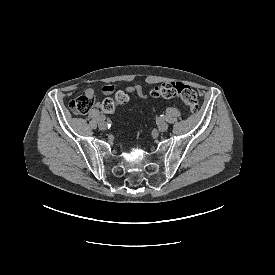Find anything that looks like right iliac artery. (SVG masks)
<instances>
[{"instance_id": "82829eb1", "label": "right iliac artery", "mask_w": 275, "mask_h": 275, "mask_svg": "<svg viewBox=\"0 0 275 275\" xmlns=\"http://www.w3.org/2000/svg\"><path fill=\"white\" fill-rule=\"evenodd\" d=\"M101 120H105V116L104 115H100L99 117Z\"/></svg>"}]
</instances>
